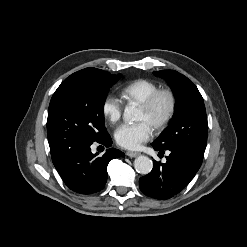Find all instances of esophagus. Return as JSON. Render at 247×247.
Returning a JSON list of instances; mask_svg holds the SVG:
<instances>
[{
	"instance_id": "1",
	"label": "esophagus",
	"mask_w": 247,
	"mask_h": 247,
	"mask_svg": "<svg viewBox=\"0 0 247 247\" xmlns=\"http://www.w3.org/2000/svg\"><path fill=\"white\" fill-rule=\"evenodd\" d=\"M126 155L129 156L130 158H134V157L140 155V153L139 152H133V151H127Z\"/></svg>"
}]
</instances>
